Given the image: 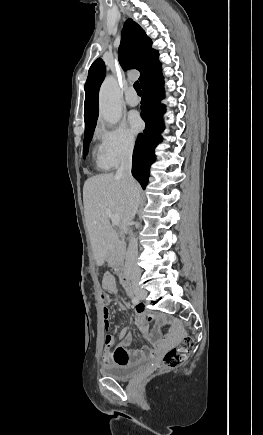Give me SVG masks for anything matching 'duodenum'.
<instances>
[{
	"label": "duodenum",
	"instance_id": "duodenum-1",
	"mask_svg": "<svg viewBox=\"0 0 263 435\" xmlns=\"http://www.w3.org/2000/svg\"><path fill=\"white\" fill-rule=\"evenodd\" d=\"M120 280H121V283H122L123 287L125 288L127 294L131 296L132 295V287L129 283L128 276L125 272L121 273Z\"/></svg>",
	"mask_w": 263,
	"mask_h": 435
}]
</instances>
